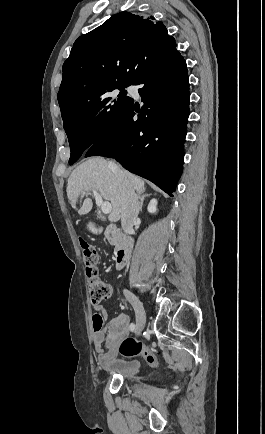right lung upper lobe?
Wrapping results in <instances>:
<instances>
[{"mask_svg":"<svg viewBox=\"0 0 265 434\" xmlns=\"http://www.w3.org/2000/svg\"><path fill=\"white\" fill-rule=\"evenodd\" d=\"M176 48L166 26L153 16L120 12L80 36L63 64L58 98L98 82H135L167 51Z\"/></svg>","mask_w":265,"mask_h":434,"instance_id":"cb5924a9","label":"right lung upper lobe"}]
</instances>
